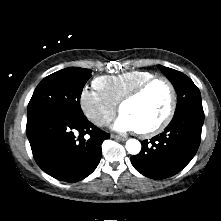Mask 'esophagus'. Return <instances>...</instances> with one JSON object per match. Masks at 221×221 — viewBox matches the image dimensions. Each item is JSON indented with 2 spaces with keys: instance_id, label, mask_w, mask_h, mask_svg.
<instances>
[{
  "instance_id": "1",
  "label": "esophagus",
  "mask_w": 221,
  "mask_h": 221,
  "mask_svg": "<svg viewBox=\"0 0 221 221\" xmlns=\"http://www.w3.org/2000/svg\"><path fill=\"white\" fill-rule=\"evenodd\" d=\"M111 137L116 139V140H120V141H125L127 139L126 137H121V136H118V135H112Z\"/></svg>"
}]
</instances>
